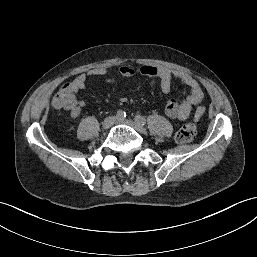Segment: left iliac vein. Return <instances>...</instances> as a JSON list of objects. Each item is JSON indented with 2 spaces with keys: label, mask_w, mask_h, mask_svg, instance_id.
Instances as JSON below:
<instances>
[{
  "label": "left iliac vein",
  "mask_w": 257,
  "mask_h": 257,
  "mask_svg": "<svg viewBox=\"0 0 257 257\" xmlns=\"http://www.w3.org/2000/svg\"><path fill=\"white\" fill-rule=\"evenodd\" d=\"M115 124L128 125V126L134 128L136 131H138L140 133H145L146 132L145 128L141 124H139L137 122H134V121H131V120H128V119H116Z\"/></svg>",
  "instance_id": "obj_1"
}]
</instances>
